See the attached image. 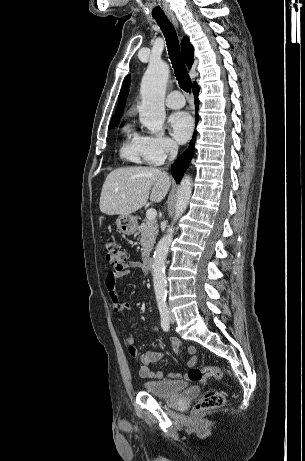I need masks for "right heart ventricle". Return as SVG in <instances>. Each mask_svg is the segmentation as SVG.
I'll use <instances>...</instances> for the list:
<instances>
[{
	"instance_id": "right-heart-ventricle-1",
	"label": "right heart ventricle",
	"mask_w": 305,
	"mask_h": 461,
	"mask_svg": "<svg viewBox=\"0 0 305 461\" xmlns=\"http://www.w3.org/2000/svg\"><path fill=\"white\" fill-rule=\"evenodd\" d=\"M123 133L124 140L120 148L121 156L132 163H142L146 161L142 149V136L130 125L124 127Z\"/></svg>"
}]
</instances>
